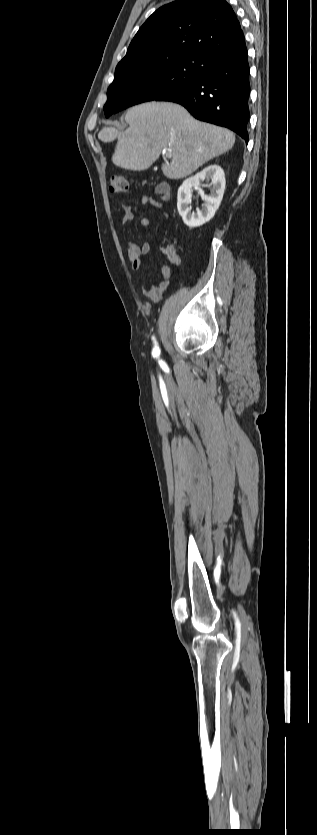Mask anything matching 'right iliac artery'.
<instances>
[{"instance_id":"82829eb1","label":"right iliac artery","mask_w":317,"mask_h":835,"mask_svg":"<svg viewBox=\"0 0 317 835\" xmlns=\"http://www.w3.org/2000/svg\"><path fill=\"white\" fill-rule=\"evenodd\" d=\"M153 340H154V337H153ZM159 353H160L159 347L155 343L152 354H153L154 357H157L159 355Z\"/></svg>"}]
</instances>
